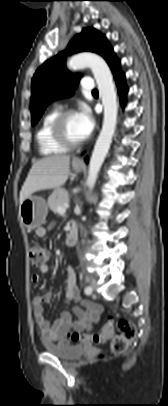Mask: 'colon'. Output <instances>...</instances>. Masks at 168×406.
Returning <instances> with one entry per match:
<instances>
[{"mask_svg": "<svg viewBox=\"0 0 168 406\" xmlns=\"http://www.w3.org/2000/svg\"><path fill=\"white\" fill-rule=\"evenodd\" d=\"M29 257L34 267H43L48 260L49 252L44 246L33 244L29 248ZM112 331L113 325L111 322H108L104 325L102 332L99 334H85L77 331H69L68 337L73 342H92L100 344L112 336ZM135 336V324L127 319H120L117 323L116 333L111 340V352L114 354L124 352Z\"/></svg>", "mask_w": 168, "mask_h": 406, "instance_id": "obj_1", "label": "colon"}]
</instances>
